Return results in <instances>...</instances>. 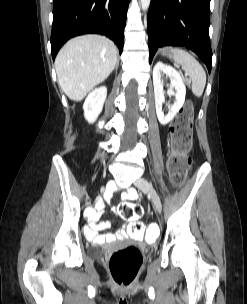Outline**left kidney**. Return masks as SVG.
Instances as JSON below:
<instances>
[{"instance_id": "1", "label": "left kidney", "mask_w": 247, "mask_h": 304, "mask_svg": "<svg viewBox=\"0 0 247 304\" xmlns=\"http://www.w3.org/2000/svg\"><path fill=\"white\" fill-rule=\"evenodd\" d=\"M161 73L165 74L170 78L171 83H170V90L168 91V95H175V99H176L174 104H172L169 107V111L167 115H164L162 111V104L165 99H164L163 84L161 81ZM153 85H154L157 117L162 125H166L174 118V116L182 108L185 102L186 87L183 83L180 74L174 68L164 64L161 61H158L153 68ZM173 89H175L176 92H174Z\"/></svg>"}]
</instances>
